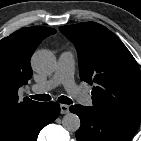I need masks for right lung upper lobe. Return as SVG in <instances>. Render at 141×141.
Returning <instances> with one entry per match:
<instances>
[{
    "label": "right lung upper lobe",
    "instance_id": "1",
    "mask_svg": "<svg viewBox=\"0 0 141 141\" xmlns=\"http://www.w3.org/2000/svg\"><path fill=\"white\" fill-rule=\"evenodd\" d=\"M53 28L35 26L20 29L0 40V131L39 102L18 101V88L32 77L30 58Z\"/></svg>",
    "mask_w": 141,
    "mask_h": 141
}]
</instances>
